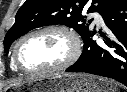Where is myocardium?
<instances>
[{
    "instance_id": "1",
    "label": "myocardium",
    "mask_w": 127,
    "mask_h": 92,
    "mask_svg": "<svg viewBox=\"0 0 127 92\" xmlns=\"http://www.w3.org/2000/svg\"><path fill=\"white\" fill-rule=\"evenodd\" d=\"M50 31L61 32L68 36V38L71 41V45H72L71 52L68 55V57L62 63H60L59 65L55 67L36 69V70L25 68L20 61V48L22 44L28 38L34 35L44 33V32H50ZM80 53H81V42L76 32L72 28H69L68 26H65V25L51 24V25H45V26L36 28L34 30L29 31L25 35H23L18 40V42L16 43L14 47L12 59H13L15 66L18 68V70L26 74H47V73L60 72V71H63L69 68L71 65H73L77 61V59L80 56Z\"/></svg>"
}]
</instances>
